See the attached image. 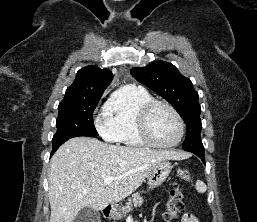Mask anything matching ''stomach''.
<instances>
[{
	"label": "stomach",
	"instance_id": "obj_1",
	"mask_svg": "<svg viewBox=\"0 0 257 222\" xmlns=\"http://www.w3.org/2000/svg\"><path fill=\"white\" fill-rule=\"evenodd\" d=\"M171 169L172 165L167 160H162L156 163L147 175L149 188L154 189L161 185L168 177ZM122 215L121 210L117 208H114L110 213V217L114 220L120 219Z\"/></svg>",
	"mask_w": 257,
	"mask_h": 222
}]
</instances>
